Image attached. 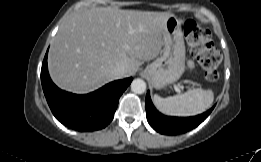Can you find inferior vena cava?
<instances>
[{"label":"inferior vena cava","instance_id":"1","mask_svg":"<svg viewBox=\"0 0 261 162\" xmlns=\"http://www.w3.org/2000/svg\"><path fill=\"white\" fill-rule=\"evenodd\" d=\"M126 73V68L122 65H119L114 68L113 74L116 79L122 78Z\"/></svg>","mask_w":261,"mask_h":162}]
</instances>
